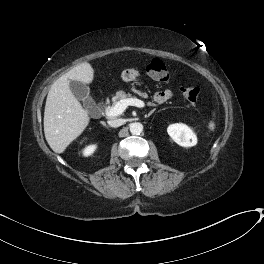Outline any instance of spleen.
I'll return each instance as SVG.
<instances>
[{
  "label": "spleen",
  "instance_id": "obj_1",
  "mask_svg": "<svg viewBox=\"0 0 264 264\" xmlns=\"http://www.w3.org/2000/svg\"><path fill=\"white\" fill-rule=\"evenodd\" d=\"M208 127H209L210 130H214L215 129V123H214V121H210Z\"/></svg>",
  "mask_w": 264,
  "mask_h": 264
}]
</instances>
